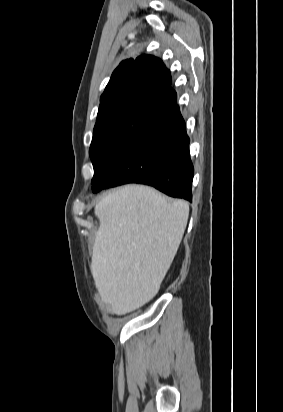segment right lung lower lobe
<instances>
[{"label":"right lung lower lobe","instance_id":"1","mask_svg":"<svg viewBox=\"0 0 283 412\" xmlns=\"http://www.w3.org/2000/svg\"><path fill=\"white\" fill-rule=\"evenodd\" d=\"M164 76L169 77V70L164 69ZM193 175L189 138L175 102L92 184V191L140 183L154 186L169 196L192 201Z\"/></svg>","mask_w":283,"mask_h":412}]
</instances>
